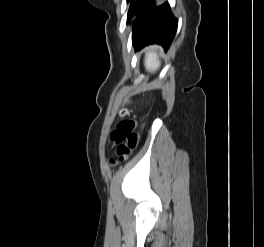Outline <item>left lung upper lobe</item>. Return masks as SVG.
<instances>
[{"instance_id": "5c2ea615", "label": "left lung upper lobe", "mask_w": 264, "mask_h": 247, "mask_svg": "<svg viewBox=\"0 0 264 247\" xmlns=\"http://www.w3.org/2000/svg\"><path fill=\"white\" fill-rule=\"evenodd\" d=\"M130 1V7L128 11L127 22L132 18L134 15L138 13L142 6V0H127V3Z\"/></svg>"}]
</instances>
